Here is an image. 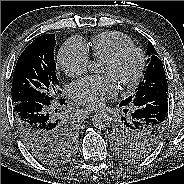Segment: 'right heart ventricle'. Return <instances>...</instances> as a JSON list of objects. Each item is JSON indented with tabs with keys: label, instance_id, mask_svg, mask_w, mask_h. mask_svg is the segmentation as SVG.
<instances>
[{
	"label": "right heart ventricle",
	"instance_id": "right-heart-ventricle-1",
	"mask_svg": "<svg viewBox=\"0 0 184 184\" xmlns=\"http://www.w3.org/2000/svg\"><path fill=\"white\" fill-rule=\"evenodd\" d=\"M133 45V41L128 36L115 31H106L92 38L90 48L94 58L103 60L118 50Z\"/></svg>",
	"mask_w": 184,
	"mask_h": 184
}]
</instances>
